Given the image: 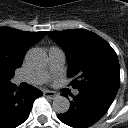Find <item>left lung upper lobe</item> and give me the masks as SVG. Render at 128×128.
Wrapping results in <instances>:
<instances>
[{"instance_id": "left-lung-upper-lobe-1", "label": "left lung upper lobe", "mask_w": 128, "mask_h": 128, "mask_svg": "<svg viewBox=\"0 0 128 128\" xmlns=\"http://www.w3.org/2000/svg\"><path fill=\"white\" fill-rule=\"evenodd\" d=\"M48 35L66 52L68 77L73 78L74 88L99 85L119 88L117 55L100 36L85 29L50 31Z\"/></svg>"}]
</instances>
